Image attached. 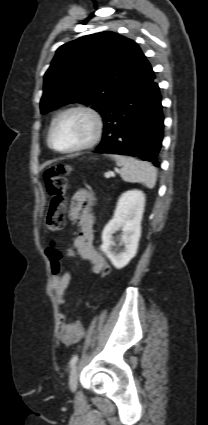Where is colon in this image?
Returning a JSON list of instances; mask_svg holds the SVG:
<instances>
[{"label":"colon","mask_w":208,"mask_h":425,"mask_svg":"<svg viewBox=\"0 0 208 425\" xmlns=\"http://www.w3.org/2000/svg\"><path fill=\"white\" fill-rule=\"evenodd\" d=\"M73 172L70 165L58 164L48 168L44 172L45 188L51 197L50 207L46 217L48 229L51 232L58 231L64 222L65 194L67 191V176ZM47 255L51 262L53 274H58L62 270L63 253L52 246L47 250ZM66 255L73 256L74 251L69 250ZM110 273V267L104 266L100 272L101 277H106Z\"/></svg>","instance_id":"5ec220e1"}]
</instances>
